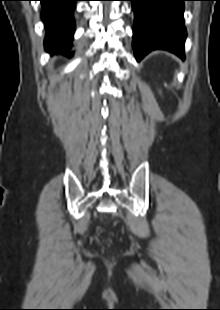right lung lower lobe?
<instances>
[{
  "label": "right lung lower lobe",
  "instance_id": "1",
  "mask_svg": "<svg viewBox=\"0 0 220 310\" xmlns=\"http://www.w3.org/2000/svg\"><path fill=\"white\" fill-rule=\"evenodd\" d=\"M41 18L46 31L44 46L47 52H66L71 48L75 31L74 11L80 0H39Z\"/></svg>",
  "mask_w": 220,
  "mask_h": 310
}]
</instances>
